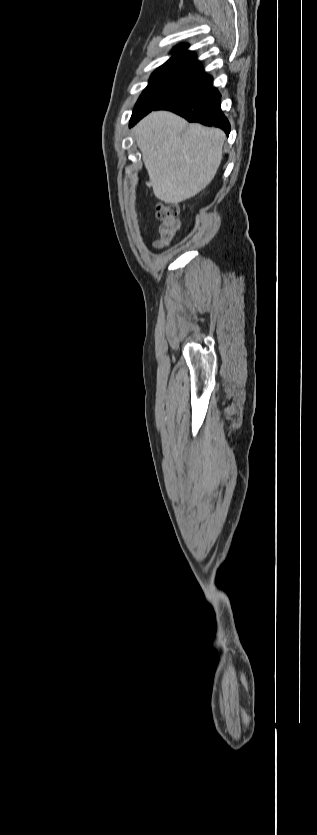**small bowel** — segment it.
<instances>
[{"label": "small bowel", "instance_id": "1", "mask_svg": "<svg viewBox=\"0 0 317 835\" xmlns=\"http://www.w3.org/2000/svg\"><path fill=\"white\" fill-rule=\"evenodd\" d=\"M159 244H160V242H156V245H159Z\"/></svg>", "mask_w": 317, "mask_h": 835}]
</instances>
